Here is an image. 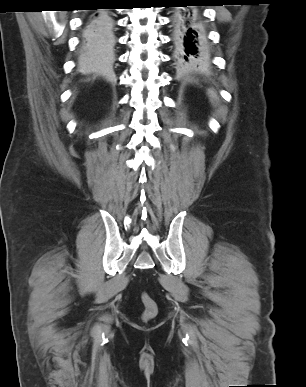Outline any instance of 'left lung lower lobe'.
Segmentation results:
<instances>
[{"mask_svg":"<svg viewBox=\"0 0 306 387\" xmlns=\"http://www.w3.org/2000/svg\"><path fill=\"white\" fill-rule=\"evenodd\" d=\"M170 2L182 6L177 7L173 12L174 60L182 66L196 64L205 56L207 41L201 25V15L193 6L208 4L203 0H171Z\"/></svg>","mask_w":306,"mask_h":387,"instance_id":"1","label":"left lung lower lobe"}]
</instances>
